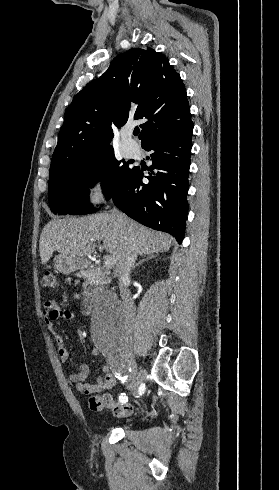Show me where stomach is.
<instances>
[{
    "label": "stomach",
    "mask_w": 279,
    "mask_h": 490,
    "mask_svg": "<svg viewBox=\"0 0 279 490\" xmlns=\"http://www.w3.org/2000/svg\"><path fill=\"white\" fill-rule=\"evenodd\" d=\"M53 266L55 270L61 272V274H73L76 270H81L84 266L83 258L82 260H77V258H68V256H55L53 258Z\"/></svg>",
    "instance_id": "1"
}]
</instances>
